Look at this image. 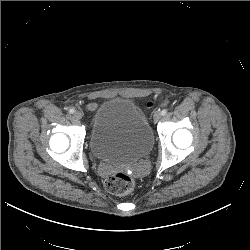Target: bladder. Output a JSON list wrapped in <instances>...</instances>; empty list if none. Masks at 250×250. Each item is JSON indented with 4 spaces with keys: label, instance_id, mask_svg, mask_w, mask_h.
Returning <instances> with one entry per match:
<instances>
[{
    "label": "bladder",
    "instance_id": "obj_1",
    "mask_svg": "<svg viewBox=\"0 0 250 250\" xmlns=\"http://www.w3.org/2000/svg\"><path fill=\"white\" fill-rule=\"evenodd\" d=\"M88 143L96 159L113 165H129L150 152L153 133L147 117L132 100L113 98L95 110Z\"/></svg>",
    "mask_w": 250,
    "mask_h": 250
}]
</instances>
